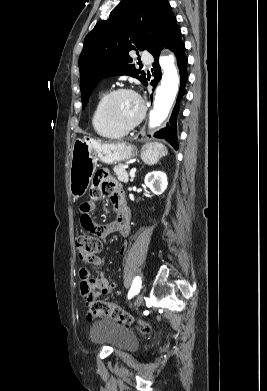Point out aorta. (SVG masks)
Masks as SVG:
<instances>
[{"label": "aorta", "instance_id": "1", "mask_svg": "<svg viewBox=\"0 0 267 391\" xmlns=\"http://www.w3.org/2000/svg\"><path fill=\"white\" fill-rule=\"evenodd\" d=\"M162 79L156 89L154 108L150 112L149 127L160 126L167 118L179 89V76L172 55L160 58Z\"/></svg>", "mask_w": 267, "mask_h": 391}]
</instances>
